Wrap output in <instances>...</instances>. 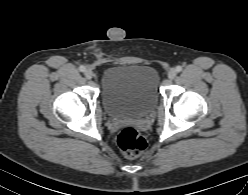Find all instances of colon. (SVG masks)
I'll return each instance as SVG.
<instances>
[{"label":"colon","mask_w":248,"mask_h":195,"mask_svg":"<svg viewBox=\"0 0 248 195\" xmlns=\"http://www.w3.org/2000/svg\"><path fill=\"white\" fill-rule=\"evenodd\" d=\"M117 143L128 157L140 155L146 148V140L138 129L132 126L124 127L118 134Z\"/></svg>","instance_id":"5ec220e1"}]
</instances>
